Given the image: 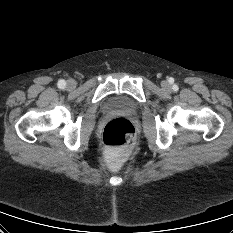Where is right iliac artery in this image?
Here are the masks:
<instances>
[{
    "mask_svg": "<svg viewBox=\"0 0 233 233\" xmlns=\"http://www.w3.org/2000/svg\"><path fill=\"white\" fill-rule=\"evenodd\" d=\"M65 86H66L65 80H59V81H58V87H59L60 89H64Z\"/></svg>",
    "mask_w": 233,
    "mask_h": 233,
    "instance_id": "82829eb1",
    "label": "right iliac artery"
}]
</instances>
